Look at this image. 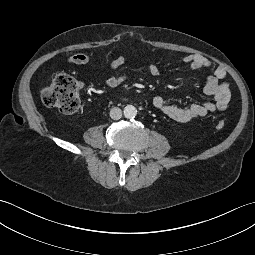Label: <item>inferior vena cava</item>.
Returning <instances> with one entry per match:
<instances>
[{
  "label": "inferior vena cava",
  "instance_id": "inferior-vena-cava-1",
  "mask_svg": "<svg viewBox=\"0 0 255 255\" xmlns=\"http://www.w3.org/2000/svg\"><path fill=\"white\" fill-rule=\"evenodd\" d=\"M110 117L113 120H119L122 117V110L118 107H114L110 110Z\"/></svg>",
  "mask_w": 255,
  "mask_h": 255
}]
</instances>
